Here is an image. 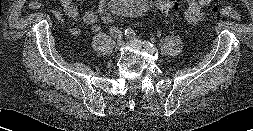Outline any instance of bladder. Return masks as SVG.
<instances>
[{"label":"bladder","instance_id":"obj_1","mask_svg":"<svg viewBox=\"0 0 253 131\" xmlns=\"http://www.w3.org/2000/svg\"><path fill=\"white\" fill-rule=\"evenodd\" d=\"M144 0H112L110 13L115 17H127L138 14L145 6Z\"/></svg>","mask_w":253,"mask_h":131}]
</instances>
